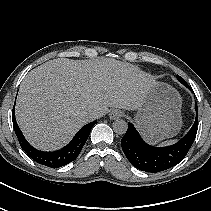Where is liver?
I'll use <instances>...</instances> for the list:
<instances>
[{"instance_id":"obj_1","label":"liver","mask_w":211,"mask_h":211,"mask_svg":"<svg viewBox=\"0 0 211 211\" xmlns=\"http://www.w3.org/2000/svg\"><path fill=\"white\" fill-rule=\"evenodd\" d=\"M155 83L150 75L113 59L50 60L21 82L16 119L30 144L55 150L93 120V111L102 116L109 107L139 109Z\"/></svg>"}]
</instances>
